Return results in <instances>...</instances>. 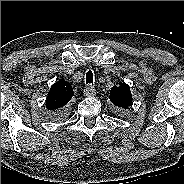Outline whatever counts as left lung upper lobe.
I'll return each instance as SVG.
<instances>
[{
    "instance_id": "1",
    "label": "left lung upper lobe",
    "mask_w": 184,
    "mask_h": 184,
    "mask_svg": "<svg viewBox=\"0 0 184 184\" xmlns=\"http://www.w3.org/2000/svg\"><path fill=\"white\" fill-rule=\"evenodd\" d=\"M110 101L118 108H128L132 104V94L129 85L120 82L110 92Z\"/></svg>"
}]
</instances>
